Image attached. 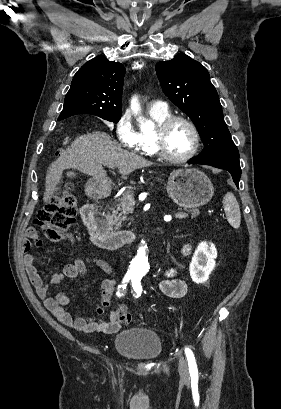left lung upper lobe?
I'll use <instances>...</instances> for the list:
<instances>
[{
  "mask_svg": "<svg viewBox=\"0 0 281 409\" xmlns=\"http://www.w3.org/2000/svg\"><path fill=\"white\" fill-rule=\"evenodd\" d=\"M166 96L194 122L205 145L199 159L239 158L207 69L185 54L156 64Z\"/></svg>",
  "mask_w": 281,
  "mask_h": 409,
  "instance_id": "1",
  "label": "left lung upper lobe"
}]
</instances>
